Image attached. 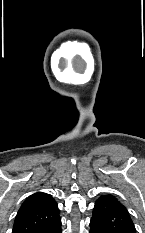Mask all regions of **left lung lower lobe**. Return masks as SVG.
<instances>
[{
    "label": "left lung lower lobe",
    "mask_w": 145,
    "mask_h": 233,
    "mask_svg": "<svg viewBox=\"0 0 145 233\" xmlns=\"http://www.w3.org/2000/svg\"><path fill=\"white\" fill-rule=\"evenodd\" d=\"M90 233H106L99 226H97L94 221H90Z\"/></svg>",
    "instance_id": "left-lung-lower-lobe-1"
}]
</instances>
